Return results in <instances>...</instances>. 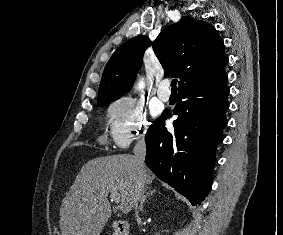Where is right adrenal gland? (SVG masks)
I'll list each match as a JSON object with an SVG mask.
<instances>
[{"label": "right adrenal gland", "instance_id": "right-adrenal-gland-1", "mask_svg": "<svg viewBox=\"0 0 283 235\" xmlns=\"http://www.w3.org/2000/svg\"><path fill=\"white\" fill-rule=\"evenodd\" d=\"M155 192H156V189L148 190V191H147V189L144 190L143 195H142V199H141V202H140L139 210L143 209V204L146 201V199L149 196H152Z\"/></svg>", "mask_w": 283, "mask_h": 235}]
</instances>
